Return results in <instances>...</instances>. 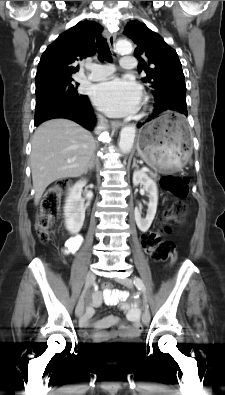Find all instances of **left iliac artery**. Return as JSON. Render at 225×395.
Returning <instances> with one entry per match:
<instances>
[{
    "label": "left iliac artery",
    "instance_id": "44dca946",
    "mask_svg": "<svg viewBox=\"0 0 225 395\" xmlns=\"http://www.w3.org/2000/svg\"><path fill=\"white\" fill-rule=\"evenodd\" d=\"M133 281H134L135 286L138 288V290L142 291L144 300L147 303L146 289H145V286H144L142 280L139 277H135L133 279ZM147 307H148V305H147Z\"/></svg>",
    "mask_w": 225,
    "mask_h": 395
}]
</instances>
